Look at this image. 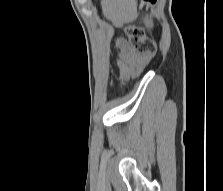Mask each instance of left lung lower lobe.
I'll return each instance as SVG.
<instances>
[{
  "label": "left lung lower lobe",
  "mask_w": 223,
  "mask_h": 191,
  "mask_svg": "<svg viewBox=\"0 0 223 191\" xmlns=\"http://www.w3.org/2000/svg\"><path fill=\"white\" fill-rule=\"evenodd\" d=\"M148 1H151L152 3H154L156 0H148Z\"/></svg>",
  "instance_id": "1"
}]
</instances>
